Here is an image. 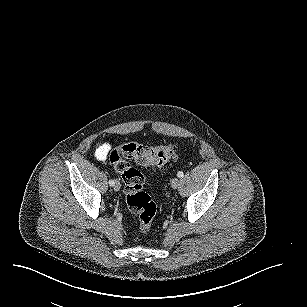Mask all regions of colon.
<instances>
[{
  "mask_svg": "<svg viewBox=\"0 0 307 307\" xmlns=\"http://www.w3.org/2000/svg\"><path fill=\"white\" fill-rule=\"evenodd\" d=\"M176 156L175 145L145 146L137 142L125 143L110 152V162L125 184L124 192L128 209L136 214L140 231L147 234L156 216L157 207L151 197L143 191L144 177L128 160L141 166L166 168Z\"/></svg>",
  "mask_w": 307,
  "mask_h": 307,
  "instance_id": "5ec220e1",
  "label": "colon"
}]
</instances>
